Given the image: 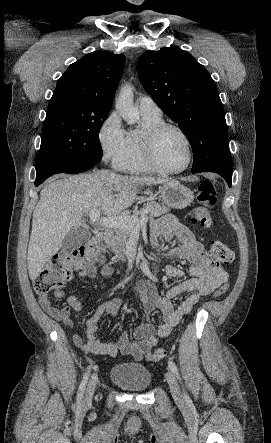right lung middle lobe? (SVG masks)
<instances>
[{
  "mask_svg": "<svg viewBox=\"0 0 271 443\" xmlns=\"http://www.w3.org/2000/svg\"><path fill=\"white\" fill-rule=\"evenodd\" d=\"M108 113H91L74 103L49 104L36 169L63 160L102 158L98 133Z\"/></svg>",
  "mask_w": 271,
  "mask_h": 443,
  "instance_id": "dd1d6c3e",
  "label": "right lung middle lobe"
}]
</instances>
